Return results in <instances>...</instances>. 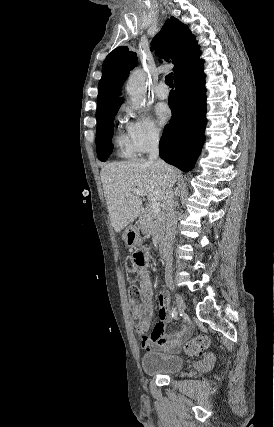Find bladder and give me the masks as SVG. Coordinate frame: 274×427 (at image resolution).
<instances>
[{
	"instance_id": "1",
	"label": "bladder",
	"mask_w": 274,
	"mask_h": 427,
	"mask_svg": "<svg viewBox=\"0 0 274 427\" xmlns=\"http://www.w3.org/2000/svg\"><path fill=\"white\" fill-rule=\"evenodd\" d=\"M141 366L146 375H172L181 372L183 362L178 354L148 352L143 354Z\"/></svg>"
}]
</instances>
